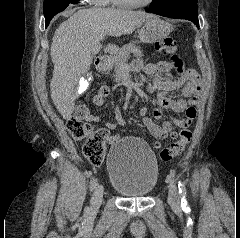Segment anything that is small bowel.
I'll return each instance as SVG.
<instances>
[{"instance_id":"1","label":"small bowel","mask_w":240,"mask_h":238,"mask_svg":"<svg viewBox=\"0 0 240 238\" xmlns=\"http://www.w3.org/2000/svg\"><path fill=\"white\" fill-rule=\"evenodd\" d=\"M143 64L140 60L132 63L134 71H140ZM172 64L167 61L158 62L156 64L148 65L145 72L154 78V89L157 92V102L160 107L170 109L174 112H183V118L169 117L161 125H158L147 116L148 109L141 107L139 114L143 119L144 125L149 132L155 137L151 143L153 148H159L162 142L168 137L174 138L177 133L173 130L174 126L180 128H187L196 117V107L198 103V96L201 93V81L197 71L190 69L181 77H173L170 74ZM182 87V97L179 99H172L165 95V92L173 91ZM111 88L108 85H103L99 88L97 94L93 97V103L96 106H102L105 99L109 96ZM114 118L112 121L106 123V141L108 144H113L120 139L118 134L112 133L114 129L124 125V118L119 109L115 107ZM153 117L155 119L163 118V112L160 108L153 110ZM86 121L90 123H98L100 117L94 114H88Z\"/></svg>"}]
</instances>
